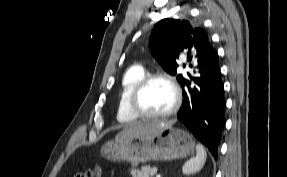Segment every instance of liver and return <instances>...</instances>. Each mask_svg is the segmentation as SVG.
I'll return each instance as SVG.
<instances>
[{
	"label": "liver",
	"instance_id": "obj_1",
	"mask_svg": "<svg viewBox=\"0 0 287 177\" xmlns=\"http://www.w3.org/2000/svg\"><path fill=\"white\" fill-rule=\"evenodd\" d=\"M174 123L175 121L163 122L158 120L135 123L124 128L117 134L116 138L134 137L154 133L165 127L172 126Z\"/></svg>",
	"mask_w": 287,
	"mask_h": 177
}]
</instances>
